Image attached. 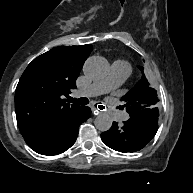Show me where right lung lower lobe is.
<instances>
[{"label": "right lung lower lobe", "instance_id": "1", "mask_svg": "<svg viewBox=\"0 0 193 193\" xmlns=\"http://www.w3.org/2000/svg\"><path fill=\"white\" fill-rule=\"evenodd\" d=\"M91 115L89 107H83L80 113L55 138L49 141L28 144L31 149L42 155H56L70 148L78 135L79 126Z\"/></svg>", "mask_w": 193, "mask_h": 193}]
</instances>
